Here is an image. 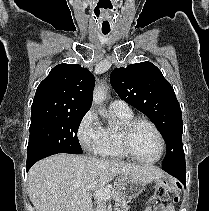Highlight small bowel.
Segmentation results:
<instances>
[{
    "label": "small bowel",
    "mask_w": 209,
    "mask_h": 211,
    "mask_svg": "<svg viewBox=\"0 0 209 211\" xmlns=\"http://www.w3.org/2000/svg\"><path fill=\"white\" fill-rule=\"evenodd\" d=\"M145 211H174L171 205H158L156 207L149 206Z\"/></svg>",
    "instance_id": "c3829d8e"
}]
</instances>
